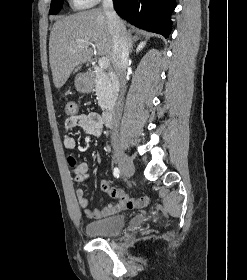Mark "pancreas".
I'll return each mask as SVG.
<instances>
[{"instance_id": "obj_1", "label": "pancreas", "mask_w": 247, "mask_h": 280, "mask_svg": "<svg viewBox=\"0 0 247 280\" xmlns=\"http://www.w3.org/2000/svg\"><path fill=\"white\" fill-rule=\"evenodd\" d=\"M95 84L98 105L102 109H106L116 96L115 81L109 73L96 69Z\"/></svg>"}]
</instances>
